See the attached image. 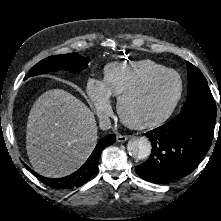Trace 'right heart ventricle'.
Wrapping results in <instances>:
<instances>
[{
  "instance_id": "1",
  "label": "right heart ventricle",
  "mask_w": 221,
  "mask_h": 221,
  "mask_svg": "<svg viewBox=\"0 0 221 221\" xmlns=\"http://www.w3.org/2000/svg\"><path fill=\"white\" fill-rule=\"evenodd\" d=\"M167 69L152 60L121 61L107 65L104 69V85L110 96L119 98L150 75Z\"/></svg>"
}]
</instances>
